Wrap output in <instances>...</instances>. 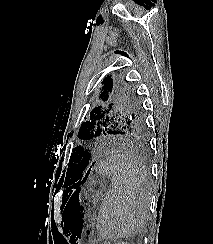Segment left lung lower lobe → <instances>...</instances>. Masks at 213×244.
<instances>
[{"instance_id": "0a47b994", "label": "left lung lower lobe", "mask_w": 213, "mask_h": 244, "mask_svg": "<svg viewBox=\"0 0 213 244\" xmlns=\"http://www.w3.org/2000/svg\"><path fill=\"white\" fill-rule=\"evenodd\" d=\"M94 163H95V162H93L92 165H94ZM89 172H90V169H89V170L87 171V173L83 176V178H82V180H81V182H80V186H81L82 184H84V182L86 181ZM80 186H79V187H80Z\"/></svg>"}]
</instances>
